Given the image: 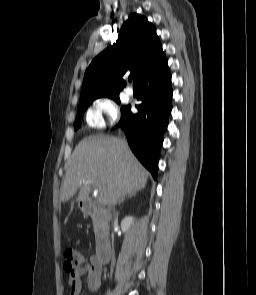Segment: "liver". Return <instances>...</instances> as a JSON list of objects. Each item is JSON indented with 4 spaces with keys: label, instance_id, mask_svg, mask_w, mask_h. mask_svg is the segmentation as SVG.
I'll list each match as a JSON object with an SVG mask.
<instances>
[{
    "label": "liver",
    "instance_id": "6515ba94",
    "mask_svg": "<svg viewBox=\"0 0 256 295\" xmlns=\"http://www.w3.org/2000/svg\"><path fill=\"white\" fill-rule=\"evenodd\" d=\"M147 176L126 143L113 136L92 135L79 142L67 162L61 200L69 201L80 189L78 200L86 201L95 185L113 206L122 196L144 188Z\"/></svg>",
    "mask_w": 256,
    "mask_h": 295
}]
</instances>
